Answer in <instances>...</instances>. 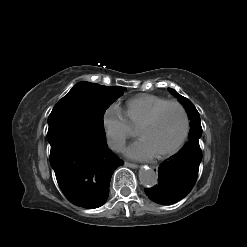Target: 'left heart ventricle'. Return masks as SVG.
Here are the masks:
<instances>
[{"label":"left heart ventricle","mask_w":247,"mask_h":247,"mask_svg":"<svg viewBox=\"0 0 247 247\" xmlns=\"http://www.w3.org/2000/svg\"><path fill=\"white\" fill-rule=\"evenodd\" d=\"M182 131V114L177 107L170 106L161 112L152 125L138 129L137 135L158 154L171 148L178 141Z\"/></svg>","instance_id":"left-heart-ventricle-1"}]
</instances>
